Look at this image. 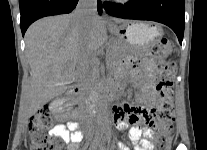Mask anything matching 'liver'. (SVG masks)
Listing matches in <instances>:
<instances>
[{"mask_svg":"<svg viewBox=\"0 0 207 150\" xmlns=\"http://www.w3.org/2000/svg\"><path fill=\"white\" fill-rule=\"evenodd\" d=\"M114 21L126 22L119 18ZM107 39L106 27L98 16L87 29L78 23L74 13L47 17L33 23L25 34L31 77L22 92L24 117L28 119L63 94L66 86L77 77L75 69L83 51L91 52L93 62L94 53Z\"/></svg>","mask_w":207,"mask_h":150,"instance_id":"6515ba94","label":"liver"}]
</instances>
